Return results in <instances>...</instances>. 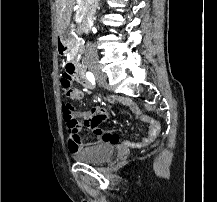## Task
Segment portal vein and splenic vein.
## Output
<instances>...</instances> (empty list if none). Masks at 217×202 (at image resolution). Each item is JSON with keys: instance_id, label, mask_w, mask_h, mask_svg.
<instances>
[{"instance_id": "portal-vein-and-splenic-vein-1", "label": "portal vein and splenic vein", "mask_w": 217, "mask_h": 202, "mask_svg": "<svg viewBox=\"0 0 217 202\" xmlns=\"http://www.w3.org/2000/svg\"><path fill=\"white\" fill-rule=\"evenodd\" d=\"M76 2H79V4H81L82 0H76Z\"/></svg>"}]
</instances>
